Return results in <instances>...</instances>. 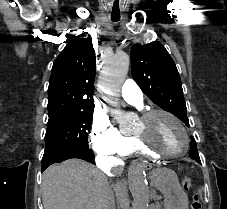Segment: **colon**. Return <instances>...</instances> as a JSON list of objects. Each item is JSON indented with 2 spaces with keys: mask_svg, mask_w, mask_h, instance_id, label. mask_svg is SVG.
Returning <instances> with one entry per match:
<instances>
[{
  "mask_svg": "<svg viewBox=\"0 0 227 209\" xmlns=\"http://www.w3.org/2000/svg\"><path fill=\"white\" fill-rule=\"evenodd\" d=\"M184 190L192 191V201L190 209H202L200 183L196 179L185 178L182 180Z\"/></svg>",
  "mask_w": 227,
  "mask_h": 209,
  "instance_id": "5ec220e1",
  "label": "colon"
}]
</instances>
